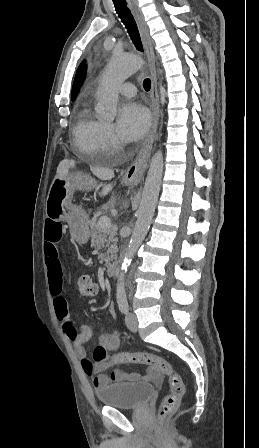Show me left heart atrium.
Segmentation results:
<instances>
[{
	"mask_svg": "<svg viewBox=\"0 0 259 448\" xmlns=\"http://www.w3.org/2000/svg\"><path fill=\"white\" fill-rule=\"evenodd\" d=\"M149 126V114L139 102L124 103L119 111L117 128L121 139L125 142L139 140Z\"/></svg>",
	"mask_w": 259,
	"mask_h": 448,
	"instance_id": "obj_1",
	"label": "left heart atrium"
}]
</instances>
